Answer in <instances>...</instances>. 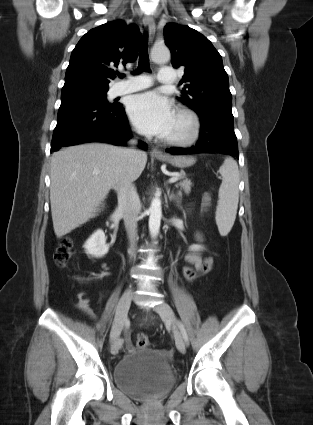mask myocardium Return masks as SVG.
Returning <instances> with one entry per match:
<instances>
[{"label":"myocardium","mask_w":313,"mask_h":425,"mask_svg":"<svg viewBox=\"0 0 313 425\" xmlns=\"http://www.w3.org/2000/svg\"><path fill=\"white\" fill-rule=\"evenodd\" d=\"M176 116L183 118L188 124V130L181 135L165 137L164 142L175 146H186L196 142L201 132V121L199 116L188 108H178Z\"/></svg>","instance_id":"f54148a6"}]
</instances>
